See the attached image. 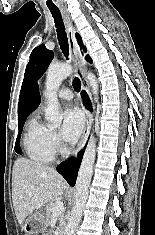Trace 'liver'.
I'll use <instances>...</instances> for the list:
<instances>
[{
	"label": "liver",
	"instance_id": "liver-1",
	"mask_svg": "<svg viewBox=\"0 0 155 235\" xmlns=\"http://www.w3.org/2000/svg\"><path fill=\"white\" fill-rule=\"evenodd\" d=\"M65 188V181L53 168L18 158L12 172V200L18 223L22 225L34 210L62 196Z\"/></svg>",
	"mask_w": 155,
	"mask_h": 235
}]
</instances>
